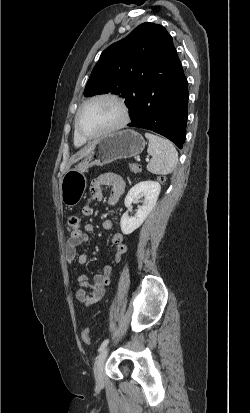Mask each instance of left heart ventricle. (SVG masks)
Listing matches in <instances>:
<instances>
[{
  "label": "left heart ventricle",
  "instance_id": "1",
  "mask_svg": "<svg viewBox=\"0 0 250 413\" xmlns=\"http://www.w3.org/2000/svg\"><path fill=\"white\" fill-rule=\"evenodd\" d=\"M121 111L110 100H98L88 104L79 118L82 133L93 135L106 130L119 122Z\"/></svg>",
  "mask_w": 250,
  "mask_h": 413
}]
</instances>
